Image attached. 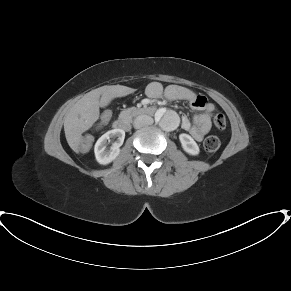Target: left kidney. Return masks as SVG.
<instances>
[{
  "label": "left kidney",
  "instance_id": "left-kidney-1",
  "mask_svg": "<svg viewBox=\"0 0 291 291\" xmlns=\"http://www.w3.org/2000/svg\"><path fill=\"white\" fill-rule=\"evenodd\" d=\"M179 140L181 142L183 150L190 155H198L199 147L194 139L185 133L179 135Z\"/></svg>",
  "mask_w": 291,
  "mask_h": 291
}]
</instances>
